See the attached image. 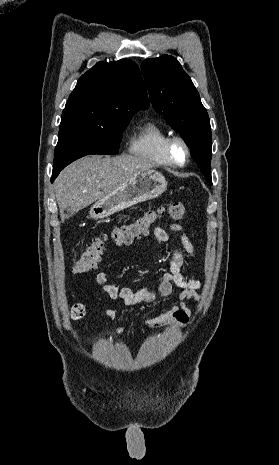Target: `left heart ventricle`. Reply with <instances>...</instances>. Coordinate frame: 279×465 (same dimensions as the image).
I'll return each instance as SVG.
<instances>
[{
  "mask_svg": "<svg viewBox=\"0 0 279 465\" xmlns=\"http://www.w3.org/2000/svg\"><path fill=\"white\" fill-rule=\"evenodd\" d=\"M174 156L178 161H182L184 157V150L180 145H176L174 148Z\"/></svg>",
  "mask_w": 279,
  "mask_h": 465,
  "instance_id": "1",
  "label": "left heart ventricle"
}]
</instances>
